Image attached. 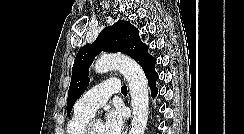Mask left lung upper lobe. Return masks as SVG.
Wrapping results in <instances>:
<instances>
[{
    "label": "left lung upper lobe",
    "instance_id": "1",
    "mask_svg": "<svg viewBox=\"0 0 244 134\" xmlns=\"http://www.w3.org/2000/svg\"><path fill=\"white\" fill-rule=\"evenodd\" d=\"M147 45L139 37V31L128 21H118L106 27L92 44L79 49L72 68L71 83L67 98V115L70 114L76 100L89 85V67L101 51L123 52L143 68L145 75L154 70L156 59L148 54ZM155 71V70H154Z\"/></svg>",
    "mask_w": 244,
    "mask_h": 134
}]
</instances>
